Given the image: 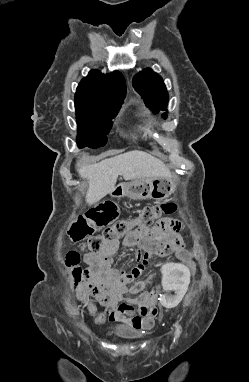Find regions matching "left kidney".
<instances>
[{
  "instance_id": "1",
  "label": "left kidney",
  "mask_w": 249,
  "mask_h": 382,
  "mask_svg": "<svg viewBox=\"0 0 249 382\" xmlns=\"http://www.w3.org/2000/svg\"><path fill=\"white\" fill-rule=\"evenodd\" d=\"M165 264L160 265L162 274L160 281L164 287V295L160 298V305L163 309H176L177 305L187 296L191 281L190 271L185 270V267L177 261H167Z\"/></svg>"
}]
</instances>
